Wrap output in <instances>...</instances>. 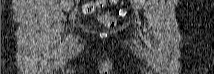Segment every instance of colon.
<instances>
[{
  "label": "colon",
  "instance_id": "obj_1",
  "mask_svg": "<svg viewBox=\"0 0 214 74\" xmlns=\"http://www.w3.org/2000/svg\"><path fill=\"white\" fill-rule=\"evenodd\" d=\"M105 0L97 1V2H87L83 10L87 13H91L95 10L97 6H101L105 3ZM112 2H117L116 0ZM98 19L101 23H103L107 28L112 29L116 26L117 20L113 15L102 13L98 15Z\"/></svg>",
  "mask_w": 214,
  "mask_h": 74
}]
</instances>
